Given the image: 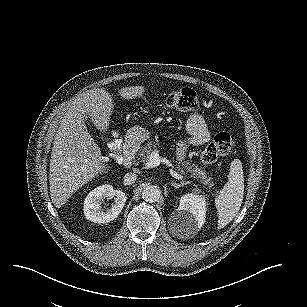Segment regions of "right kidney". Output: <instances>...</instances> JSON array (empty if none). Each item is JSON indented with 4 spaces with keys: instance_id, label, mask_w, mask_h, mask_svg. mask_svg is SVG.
Returning <instances> with one entry per match:
<instances>
[{
    "instance_id": "obj_1",
    "label": "right kidney",
    "mask_w": 307,
    "mask_h": 307,
    "mask_svg": "<svg viewBox=\"0 0 307 307\" xmlns=\"http://www.w3.org/2000/svg\"><path fill=\"white\" fill-rule=\"evenodd\" d=\"M105 198H113L112 206L106 211L101 209ZM127 196L122 191H115L112 184H102L92 189L83 202L84 217L93 223L104 224L113 221L125 207Z\"/></svg>"
}]
</instances>
